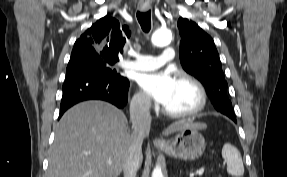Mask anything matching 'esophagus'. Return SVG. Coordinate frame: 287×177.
Here are the masks:
<instances>
[{
	"label": "esophagus",
	"instance_id": "obj_1",
	"mask_svg": "<svg viewBox=\"0 0 287 177\" xmlns=\"http://www.w3.org/2000/svg\"><path fill=\"white\" fill-rule=\"evenodd\" d=\"M138 9L141 12H148L149 10H151L150 4H149V0H140L139 4H138ZM154 144L157 146H164L166 145V142L162 139V138H154Z\"/></svg>",
	"mask_w": 287,
	"mask_h": 177
}]
</instances>
